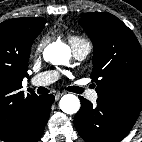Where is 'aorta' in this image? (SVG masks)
I'll return each instance as SVG.
<instances>
[{
  "label": "aorta",
  "mask_w": 142,
  "mask_h": 142,
  "mask_svg": "<svg viewBox=\"0 0 142 142\" xmlns=\"http://www.w3.org/2000/svg\"><path fill=\"white\" fill-rule=\"evenodd\" d=\"M71 57V50L64 43H53L46 47L44 58L54 65L66 64ZM60 109L66 114H75L80 109V100L73 94L64 95L59 102Z\"/></svg>",
  "instance_id": "aorta-1"
}]
</instances>
